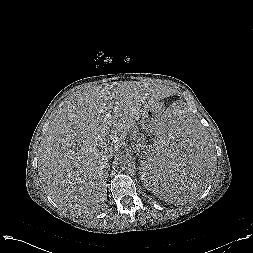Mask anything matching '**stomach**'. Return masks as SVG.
<instances>
[{
    "instance_id": "stomach-1",
    "label": "stomach",
    "mask_w": 253,
    "mask_h": 253,
    "mask_svg": "<svg viewBox=\"0 0 253 253\" xmlns=\"http://www.w3.org/2000/svg\"><path fill=\"white\" fill-rule=\"evenodd\" d=\"M163 108L154 106L142 117L141 127L147 134L154 135L160 128L162 119L166 116Z\"/></svg>"
}]
</instances>
